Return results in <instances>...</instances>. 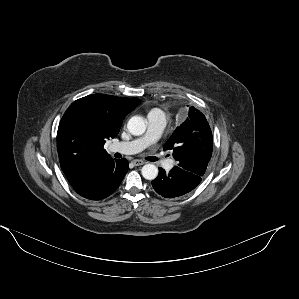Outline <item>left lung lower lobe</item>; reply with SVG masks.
Here are the masks:
<instances>
[{"label": "left lung lower lobe", "instance_id": "obj_1", "mask_svg": "<svg viewBox=\"0 0 299 299\" xmlns=\"http://www.w3.org/2000/svg\"><path fill=\"white\" fill-rule=\"evenodd\" d=\"M201 180L202 176L175 166L169 173L159 168V175L152 181V186L161 196L175 198L192 191Z\"/></svg>", "mask_w": 299, "mask_h": 299}]
</instances>
